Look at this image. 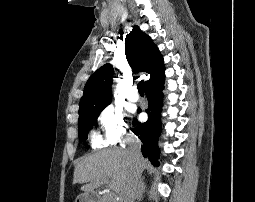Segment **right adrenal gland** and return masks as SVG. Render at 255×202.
<instances>
[{"label":"right adrenal gland","instance_id":"right-adrenal-gland-1","mask_svg":"<svg viewBox=\"0 0 255 202\" xmlns=\"http://www.w3.org/2000/svg\"><path fill=\"white\" fill-rule=\"evenodd\" d=\"M145 189H146V185H145V183H143L142 191H145Z\"/></svg>","mask_w":255,"mask_h":202}]
</instances>
